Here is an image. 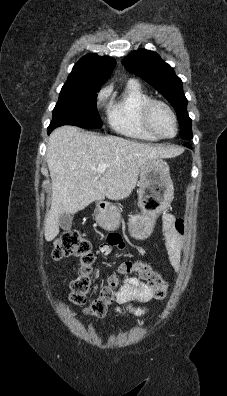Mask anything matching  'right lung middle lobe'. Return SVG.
Masks as SVG:
<instances>
[{"mask_svg": "<svg viewBox=\"0 0 227 396\" xmlns=\"http://www.w3.org/2000/svg\"><path fill=\"white\" fill-rule=\"evenodd\" d=\"M99 90L100 85L65 83L48 128L55 129L62 125L101 128L102 122L96 107Z\"/></svg>", "mask_w": 227, "mask_h": 396, "instance_id": "right-lung-middle-lobe-1", "label": "right lung middle lobe"}]
</instances>
